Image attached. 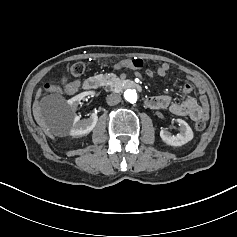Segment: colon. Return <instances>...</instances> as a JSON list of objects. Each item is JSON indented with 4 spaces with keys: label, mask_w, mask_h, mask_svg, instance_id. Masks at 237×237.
Masks as SVG:
<instances>
[{
    "label": "colon",
    "mask_w": 237,
    "mask_h": 237,
    "mask_svg": "<svg viewBox=\"0 0 237 237\" xmlns=\"http://www.w3.org/2000/svg\"><path fill=\"white\" fill-rule=\"evenodd\" d=\"M131 66L133 69H140L143 66V61L141 59H133L131 60ZM70 71L73 76L80 77L85 72V65L82 62H76L71 66ZM146 74L148 77L154 76V72L151 70H147ZM50 88V85L46 86V89ZM195 128L197 131H203L206 128V122L204 120H199L195 124Z\"/></svg>",
    "instance_id": "colon-1"
}]
</instances>
